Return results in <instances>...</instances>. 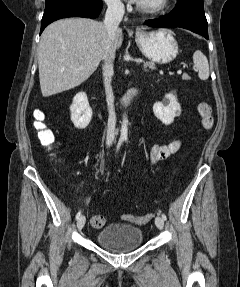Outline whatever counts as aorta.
I'll return each mask as SVG.
<instances>
[{"instance_id": "obj_1", "label": "aorta", "mask_w": 240, "mask_h": 287, "mask_svg": "<svg viewBox=\"0 0 240 287\" xmlns=\"http://www.w3.org/2000/svg\"><path fill=\"white\" fill-rule=\"evenodd\" d=\"M128 138V118L126 114L123 116L122 124H121V134L120 139L126 140Z\"/></svg>"}]
</instances>
